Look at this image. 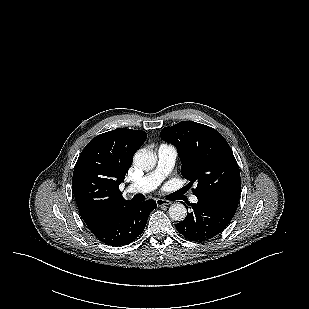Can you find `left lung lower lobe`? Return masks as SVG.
I'll use <instances>...</instances> for the list:
<instances>
[{"mask_svg": "<svg viewBox=\"0 0 309 309\" xmlns=\"http://www.w3.org/2000/svg\"><path fill=\"white\" fill-rule=\"evenodd\" d=\"M188 204L192 211L176 224V229L191 241H206L221 233L232 220L238 203L215 197H197Z\"/></svg>", "mask_w": 309, "mask_h": 309, "instance_id": "1", "label": "left lung lower lobe"}]
</instances>
